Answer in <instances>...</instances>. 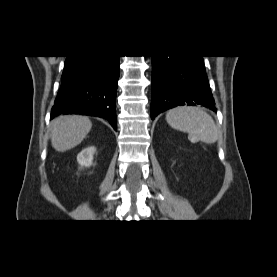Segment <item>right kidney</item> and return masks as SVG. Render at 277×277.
Listing matches in <instances>:
<instances>
[{
  "label": "right kidney",
  "instance_id": "1",
  "mask_svg": "<svg viewBox=\"0 0 277 277\" xmlns=\"http://www.w3.org/2000/svg\"><path fill=\"white\" fill-rule=\"evenodd\" d=\"M95 151H96V148L94 146H90V147L83 149L77 155V161H78L79 165L81 167L91 166Z\"/></svg>",
  "mask_w": 277,
  "mask_h": 277
}]
</instances>
